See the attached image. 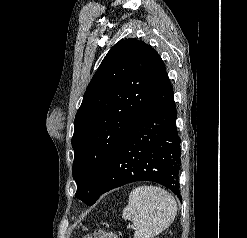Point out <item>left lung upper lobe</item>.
I'll list each match as a JSON object with an SVG mask.
<instances>
[{
  "instance_id": "5c2ea615",
  "label": "left lung upper lobe",
  "mask_w": 247,
  "mask_h": 238,
  "mask_svg": "<svg viewBox=\"0 0 247 238\" xmlns=\"http://www.w3.org/2000/svg\"><path fill=\"white\" fill-rule=\"evenodd\" d=\"M166 72L143 41L122 39L107 53L89 83L74 122L76 197L94 204L114 156L147 108Z\"/></svg>"
}]
</instances>
